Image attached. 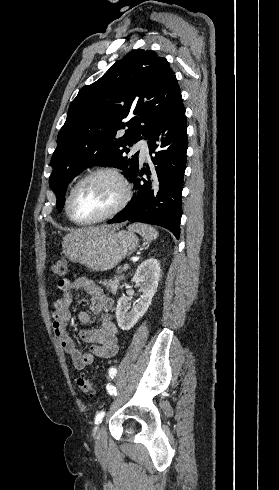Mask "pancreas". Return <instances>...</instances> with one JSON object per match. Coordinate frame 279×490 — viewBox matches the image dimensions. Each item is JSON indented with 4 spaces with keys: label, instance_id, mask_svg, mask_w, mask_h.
Segmentation results:
<instances>
[{
    "label": "pancreas",
    "instance_id": "cf45deb5",
    "mask_svg": "<svg viewBox=\"0 0 279 490\" xmlns=\"http://www.w3.org/2000/svg\"><path fill=\"white\" fill-rule=\"evenodd\" d=\"M121 272H124L123 268L122 270H117V274H121ZM122 278L123 276H115L114 280H109V282H107V280H103L101 284H103V286H107L109 290H113V292H117L119 282L120 280H122Z\"/></svg>",
    "mask_w": 279,
    "mask_h": 490
}]
</instances>
